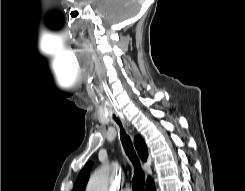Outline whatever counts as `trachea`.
<instances>
[{
	"mask_svg": "<svg viewBox=\"0 0 245 191\" xmlns=\"http://www.w3.org/2000/svg\"><path fill=\"white\" fill-rule=\"evenodd\" d=\"M114 119L117 124L120 126V136L123 147L125 149L126 154L134 164V176H133V190L134 191H144V183H145V175L139 163V160L136 156V153L133 149V145L131 142L130 137L126 134L123 126L118 118L115 117Z\"/></svg>",
	"mask_w": 245,
	"mask_h": 191,
	"instance_id": "3493384b",
	"label": "trachea"
}]
</instances>
